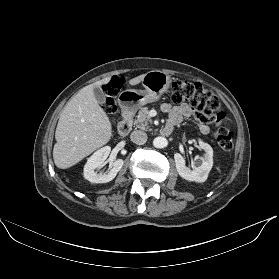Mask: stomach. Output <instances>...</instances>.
Returning a JSON list of instances; mask_svg holds the SVG:
<instances>
[{
  "label": "stomach",
  "instance_id": "stomach-1",
  "mask_svg": "<svg viewBox=\"0 0 279 279\" xmlns=\"http://www.w3.org/2000/svg\"><path fill=\"white\" fill-rule=\"evenodd\" d=\"M171 78L160 70H153L145 74L142 85L144 90L129 89L120 93L118 102L126 113H134L143 105L158 101L169 89Z\"/></svg>",
  "mask_w": 279,
  "mask_h": 279
}]
</instances>
